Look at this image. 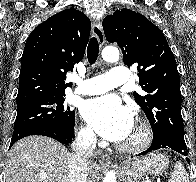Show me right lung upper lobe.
I'll return each mask as SVG.
<instances>
[{"label": "right lung upper lobe", "mask_w": 196, "mask_h": 182, "mask_svg": "<svg viewBox=\"0 0 196 182\" xmlns=\"http://www.w3.org/2000/svg\"><path fill=\"white\" fill-rule=\"evenodd\" d=\"M90 20L65 9L39 24L29 35L21 59L17 104L65 95L66 73L84 56Z\"/></svg>", "instance_id": "1"}]
</instances>
